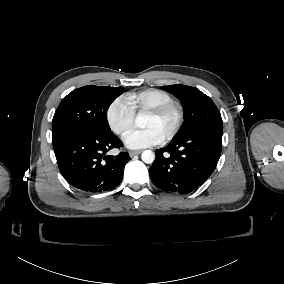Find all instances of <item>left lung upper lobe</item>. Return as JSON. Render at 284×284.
I'll return each instance as SVG.
<instances>
[{
	"label": "left lung upper lobe",
	"instance_id": "5c2ea615",
	"mask_svg": "<svg viewBox=\"0 0 284 284\" xmlns=\"http://www.w3.org/2000/svg\"><path fill=\"white\" fill-rule=\"evenodd\" d=\"M162 89L177 96L184 106L185 123L178 136L202 129L222 131L223 122L219 110L199 89L181 84L163 86Z\"/></svg>",
	"mask_w": 284,
	"mask_h": 284
}]
</instances>
